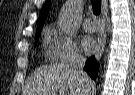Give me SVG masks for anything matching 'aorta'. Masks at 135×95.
<instances>
[{"mask_svg": "<svg viewBox=\"0 0 135 95\" xmlns=\"http://www.w3.org/2000/svg\"><path fill=\"white\" fill-rule=\"evenodd\" d=\"M81 0H70L64 5L59 15V25L63 32L74 35L78 28V16Z\"/></svg>", "mask_w": 135, "mask_h": 95, "instance_id": "aorta-1", "label": "aorta"}]
</instances>
